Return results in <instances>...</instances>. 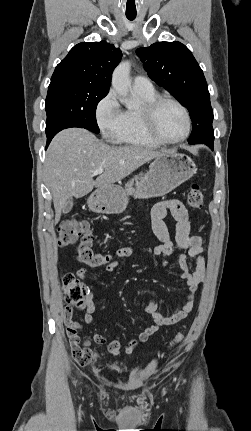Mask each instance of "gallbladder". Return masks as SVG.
I'll list each match as a JSON object with an SVG mask.
<instances>
[{
  "label": "gallbladder",
  "mask_w": 251,
  "mask_h": 431,
  "mask_svg": "<svg viewBox=\"0 0 251 431\" xmlns=\"http://www.w3.org/2000/svg\"><path fill=\"white\" fill-rule=\"evenodd\" d=\"M72 207H73V201H72V199H69V200L65 203V205L63 206V208H62V212H63L64 214H67V213H69V212L71 211Z\"/></svg>",
  "instance_id": "gallbladder-1"
}]
</instances>
